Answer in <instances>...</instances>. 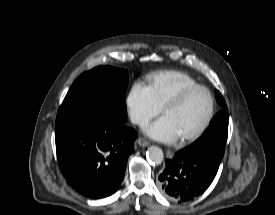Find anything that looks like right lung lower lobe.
<instances>
[{"mask_svg": "<svg viewBox=\"0 0 275 215\" xmlns=\"http://www.w3.org/2000/svg\"><path fill=\"white\" fill-rule=\"evenodd\" d=\"M127 121V120H126ZM106 113L57 123L56 151L67 182L79 193L99 199L115 193L124 179L137 132Z\"/></svg>", "mask_w": 275, "mask_h": 215, "instance_id": "right-lung-lower-lobe-1", "label": "right lung lower lobe"}]
</instances>
